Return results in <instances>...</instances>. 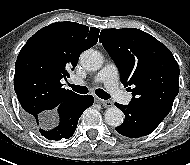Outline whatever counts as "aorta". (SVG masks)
<instances>
[{
	"instance_id": "aorta-1",
	"label": "aorta",
	"mask_w": 190,
	"mask_h": 165,
	"mask_svg": "<svg viewBox=\"0 0 190 165\" xmlns=\"http://www.w3.org/2000/svg\"><path fill=\"white\" fill-rule=\"evenodd\" d=\"M80 63L88 71H97L103 65V57L100 52L88 49L81 54ZM104 117L108 125L117 127L123 123L124 114L117 107H111L105 111Z\"/></svg>"
}]
</instances>
